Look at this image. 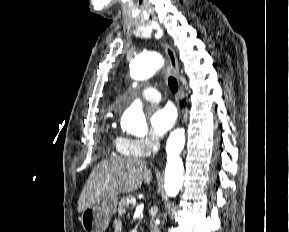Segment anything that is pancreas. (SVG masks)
I'll return each instance as SVG.
<instances>
[{"mask_svg": "<svg viewBox=\"0 0 289 232\" xmlns=\"http://www.w3.org/2000/svg\"><path fill=\"white\" fill-rule=\"evenodd\" d=\"M133 197L131 195L125 196L121 199V201L118 203V214L122 216L125 212L126 209L129 207L131 204Z\"/></svg>", "mask_w": 289, "mask_h": 232, "instance_id": "obj_1", "label": "pancreas"}]
</instances>
